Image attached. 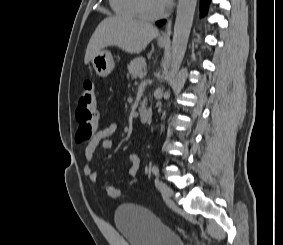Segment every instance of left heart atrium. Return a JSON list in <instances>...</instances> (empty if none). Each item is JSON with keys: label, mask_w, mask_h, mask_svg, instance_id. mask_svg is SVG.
Instances as JSON below:
<instances>
[{"label": "left heart atrium", "mask_w": 283, "mask_h": 245, "mask_svg": "<svg viewBox=\"0 0 283 245\" xmlns=\"http://www.w3.org/2000/svg\"><path fill=\"white\" fill-rule=\"evenodd\" d=\"M160 1L164 7L167 6L171 2V0H160Z\"/></svg>", "instance_id": "left-heart-atrium-1"}]
</instances>
